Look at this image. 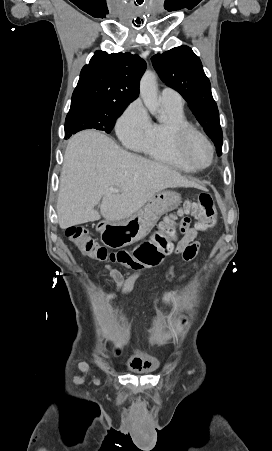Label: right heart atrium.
Instances as JSON below:
<instances>
[{
	"instance_id": "1",
	"label": "right heart atrium",
	"mask_w": 272,
	"mask_h": 451,
	"mask_svg": "<svg viewBox=\"0 0 272 451\" xmlns=\"http://www.w3.org/2000/svg\"><path fill=\"white\" fill-rule=\"evenodd\" d=\"M150 118L139 101L133 102L120 117L116 130L120 138L130 145L142 142L148 134Z\"/></svg>"
}]
</instances>
